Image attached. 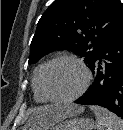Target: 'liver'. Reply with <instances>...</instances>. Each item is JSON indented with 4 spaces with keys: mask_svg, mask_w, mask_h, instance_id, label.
<instances>
[{
    "mask_svg": "<svg viewBox=\"0 0 123 130\" xmlns=\"http://www.w3.org/2000/svg\"><path fill=\"white\" fill-rule=\"evenodd\" d=\"M83 111L77 105L69 106H42L37 108L29 119L27 128L33 130H48L62 120Z\"/></svg>",
    "mask_w": 123,
    "mask_h": 130,
    "instance_id": "liver-1",
    "label": "liver"
}]
</instances>
